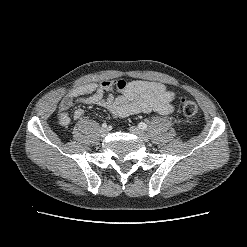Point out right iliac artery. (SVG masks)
I'll return each instance as SVG.
<instances>
[{"mask_svg":"<svg viewBox=\"0 0 247 247\" xmlns=\"http://www.w3.org/2000/svg\"><path fill=\"white\" fill-rule=\"evenodd\" d=\"M102 127H103V128H106V127H107V124H106V123H103V124H102Z\"/></svg>","mask_w":247,"mask_h":247,"instance_id":"obj_1","label":"right iliac artery"}]
</instances>
